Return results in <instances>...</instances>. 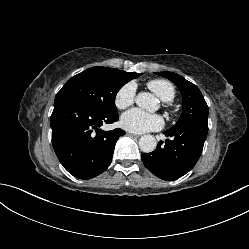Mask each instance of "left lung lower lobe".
I'll return each instance as SVG.
<instances>
[{
  "mask_svg": "<svg viewBox=\"0 0 249 249\" xmlns=\"http://www.w3.org/2000/svg\"><path fill=\"white\" fill-rule=\"evenodd\" d=\"M208 133L207 121H195L178 129L164 132L162 141L151 153H143L145 167L157 177L173 181L189 172L197 163Z\"/></svg>",
  "mask_w": 249,
  "mask_h": 249,
  "instance_id": "obj_1",
  "label": "left lung lower lobe"
}]
</instances>
